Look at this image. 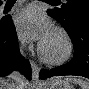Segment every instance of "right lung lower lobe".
I'll list each match as a JSON object with an SVG mask.
<instances>
[{
	"instance_id": "98d812e1",
	"label": "right lung lower lobe",
	"mask_w": 89,
	"mask_h": 89,
	"mask_svg": "<svg viewBox=\"0 0 89 89\" xmlns=\"http://www.w3.org/2000/svg\"><path fill=\"white\" fill-rule=\"evenodd\" d=\"M16 69L28 80L31 79L30 63L19 53L16 30L9 17L0 21V76Z\"/></svg>"
}]
</instances>
